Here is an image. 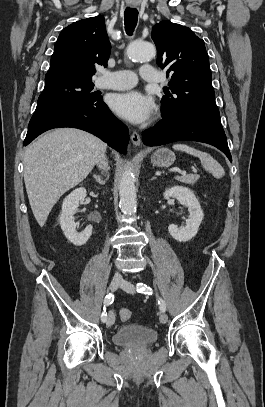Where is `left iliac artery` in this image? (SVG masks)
<instances>
[{"instance_id":"obj_1","label":"left iliac artery","mask_w":265,"mask_h":407,"mask_svg":"<svg viewBox=\"0 0 265 407\" xmlns=\"http://www.w3.org/2000/svg\"><path fill=\"white\" fill-rule=\"evenodd\" d=\"M137 292L151 295L152 294V289L149 286H147L146 284L138 283L137 284ZM158 304H159V308H160L161 312H165L166 311V304H165L164 300L159 298Z\"/></svg>"}]
</instances>
